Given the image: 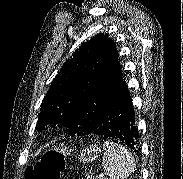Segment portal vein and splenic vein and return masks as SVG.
Wrapping results in <instances>:
<instances>
[{"instance_id":"18ae733b","label":"portal vein and splenic vein","mask_w":183,"mask_h":179,"mask_svg":"<svg viewBox=\"0 0 183 179\" xmlns=\"http://www.w3.org/2000/svg\"><path fill=\"white\" fill-rule=\"evenodd\" d=\"M106 175V173L105 172H102L101 174H100V176H105Z\"/></svg>"}]
</instances>
